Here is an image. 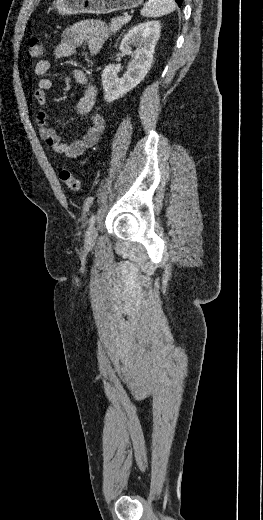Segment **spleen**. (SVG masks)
Returning <instances> with one entry per match:
<instances>
[{"mask_svg": "<svg viewBox=\"0 0 263 520\" xmlns=\"http://www.w3.org/2000/svg\"><path fill=\"white\" fill-rule=\"evenodd\" d=\"M176 8L174 0H148L141 10L144 17H159L173 12Z\"/></svg>", "mask_w": 263, "mask_h": 520, "instance_id": "3e777b00", "label": "spleen"}]
</instances>
